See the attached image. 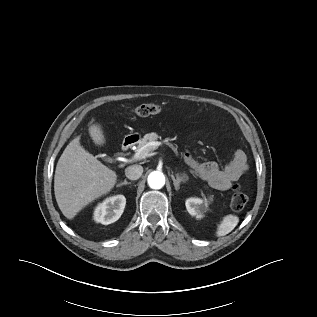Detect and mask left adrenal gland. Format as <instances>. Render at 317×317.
<instances>
[{"mask_svg": "<svg viewBox=\"0 0 317 317\" xmlns=\"http://www.w3.org/2000/svg\"><path fill=\"white\" fill-rule=\"evenodd\" d=\"M171 178L173 180V184H174V187H175V190L178 191L180 189V183L181 182H186L187 178L185 175L183 176H179V174H176V178L174 177V175L172 174L171 175Z\"/></svg>", "mask_w": 317, "mask_h": 317, "instance_id": "obj_1", "label": "left adrenal gland"}]
</instances>
